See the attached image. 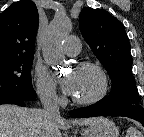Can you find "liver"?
Segmentation results:
<instances>
[{
	"label": "liver",
	"mask_w": 144,
	"mask_h": 137,
	"mask_svg": "<svg viewBox=\"0 0 144 137\" xmlns=\"http://www.w3.org/2000/svg\"><path fill=\"white\" fill-rule=\"evenodd\" d=\"M99 118L66 120L48 117L43 109L0 105V137H62L72 125H91Z\"/></svg>",
	"instance_id": "6515ba94"
}]
</instances>
